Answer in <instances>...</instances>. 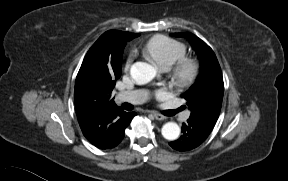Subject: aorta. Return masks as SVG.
<instances>
[{"label":"aorta","instance_id":"obj_1","mask_svg":"<svg viewBox=\"0 0 288 181\" xmlns=\"http://www.w3.org/2000/svg\"><path fill=\"white\" fill-rule=\"evenodd\" d=\"M156 69L146 62H136L131 66L130 74L137 84H146L156 76ZM162 135L169 141L176 140L180 134V127L175 122H167L162 127Z\"/></svg>","mask_w":288,"mask_h":181}]
</instances>
